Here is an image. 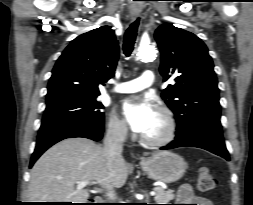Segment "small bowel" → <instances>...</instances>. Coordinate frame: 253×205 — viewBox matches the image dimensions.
Instances as JSON below:
<instances>
[{
  "label": "small bowel",
  "instance_id": "1",
  "mask_svg": "<svg viewBox=\"0 0 253 205\" xmlns=\"http://www.w3.org/2000/svg\"><path fill=\"white\" fill-rule=\"evenodd\" d=\"M178 200L183 203H194V204H183V205H213L210 200L204 197L195 195L189 186H184L179 191Z\"/></svg>",
  "mask_w": 253,
  "mask_h": 205
}]
</instances>
